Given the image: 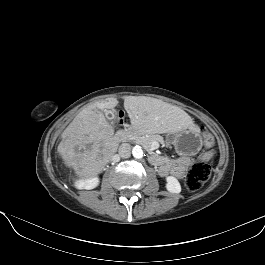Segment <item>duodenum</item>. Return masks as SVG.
<instances>
[{
    "label": "duodenum",
    "mask_w": 265,
    "mask_h": 265,
    "mask_svg": "<svg viewBox=\"0 0 265 265\" xmlns=\"http://www.w3.org/2000/svg\"><path fill=\"white\" fill-rule=\"evenodd\" d=\"M125 135H126V131L125 130H120L117 133L116 137H117V139H123L125 137ZM149 160H150V162L152 164H154L156 166H160L162 164V162H163V158L160 157L159 155H151L149 157Z\"/></svg>",
    "instance_id": "1"
}]
</instances>
